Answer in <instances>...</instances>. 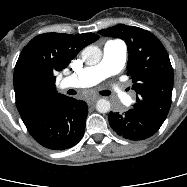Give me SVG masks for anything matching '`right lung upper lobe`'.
I'll list each match as a JSON object with an SVG mask.
<instances>
[{
  "label": "right lung upper lobe",
  "mask_w": 187,
  "mask_h": 187,
  "mask_svg": "<svg viewBox=\"0 0 187 187\" xmlns=\"http://www.w3.org/2000/svg\"><path fill=\"white\" fill-rule=\"evenodd\" d=\"M98 38L94 33H45L23 48L14 69V90L24 123L67 97L57 93L54 74L66 68L85 46Z\"/></svg>",
  "instance_id": "cb5924a9"
}]
</instances>
